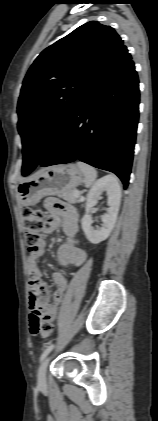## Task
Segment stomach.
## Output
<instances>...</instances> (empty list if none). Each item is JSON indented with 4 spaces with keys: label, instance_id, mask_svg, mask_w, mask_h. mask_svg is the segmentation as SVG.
I'll list each match as a JSON object with an SVG mask.
<instances>
[{
    "label": "stomach",
    "instance_id": "obj_1",
    "mask_svg": "<svg viewBox=\"0 0 158 421\" xmlns=\"http://www.w3.org/2000/svg\"><path fill=\"white\" fill-rule=\"evenodd\" d=\"M83 182V173L73 164L43 169L18 185V195L24 205H35L48 195H61Z\"/></svg>",
    "mask_w": 158,
    "mask_h": 421
}]
</instances>
